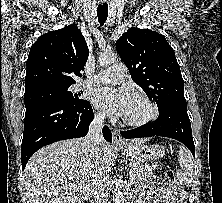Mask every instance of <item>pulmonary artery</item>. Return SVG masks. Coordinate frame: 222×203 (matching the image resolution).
I'll return each instance as SVG.
<instances>
[{
  "label": "pulmonary artery",
  "instance_id": "pulmonary-artery-1",
  "mask_svg": "<svg viewBox=\"0 0 222 203\" xmlns=\"http://www.w3.org/2000/svg\"><path fill=\"white\" fill-rule=\"evenodd\" d=\"M127 78L126 66L122 63L113 64L111 67L97 73L90 79L84 80L81 85L89 86L103 83H121Z\"/></svg>",
  "mask_w": 222,
  "mask_h": 203
}]
</instances>
